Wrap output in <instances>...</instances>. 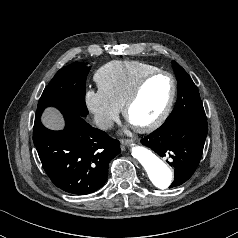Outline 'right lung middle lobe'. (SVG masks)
<instances>
[{
    "mask_svg": "<svg viewBox=\"0 0 238 238\" xmlns=\"http://www.w3.org/2000/svg\"><path fill=\"white\" fill-rule=\"evenodd\" d=\"M90 67L80 62H74L62 69L44 89L38 102L35 120H40L46 107L58 108L66 116H86L85 83Z\"/></svg>",
    "mask_w": 238,
    "mask_h": 238,
    "instance_id": "1",
    "label": "right lung middle lobe"
}]
</instances>
